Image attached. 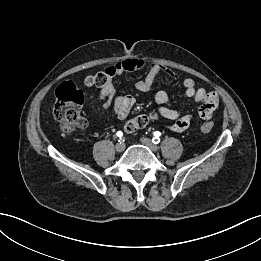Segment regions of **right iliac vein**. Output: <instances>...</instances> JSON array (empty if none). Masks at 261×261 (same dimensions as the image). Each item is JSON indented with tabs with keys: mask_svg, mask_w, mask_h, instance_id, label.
<instances>
[{
	"mask_svg": "<svg viewBox=\"0 0 261 261\" xmlns=\"http://www.w3.org/2000/svg\"><path fill=\"white\" fill-rule=\"evenodd\" d=\"M115 149L117 152H123L125 149V144L123 142H119L115 145Z\"/></svg>",
	"mask_w": 261,
	"mask_h": 261,
	"instance_id": "obj_1",
	"label": "right iliac vein"
}]
</instances>
